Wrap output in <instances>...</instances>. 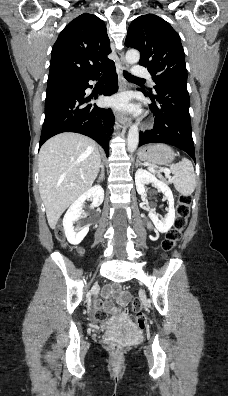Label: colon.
Segmentation results:
<instances>
[{"label":"colon","instance_id":"1","mask_svg":"<svg viewBox=\"0 0 228 396\" xmlns=\"http://www.w3.org/2000/svg\"><path fill=\"white\" fill-rule=\"evenodd\" d=\"M191 197L189 195H181L179 197V202L177 205V215L174 221V225L172 229L166 234V237L162 243L165 251H171L175 248L182 237V232L187 226L188 217L190 214V205H191ZM57 238H62L63 233L61 229L56 230ZM132 310L135 313V321L140 328L145 326V316L142 313V305L138 301H133ZM97 319H103L104 313L101 309H98L96 312ZM109 347L114 352H120L122 350V346L117 341H111L109 343Z\"/></svg>","mask_w":228,"mask_h":396}]
</instances>
